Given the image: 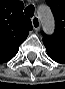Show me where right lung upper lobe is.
Instances as JSON below:
<instances>
[{
	"label": "right lung upper lobe",
	"mask_w": 65,
	"mask_h": 89,
	"mask_svg": "<svg viewBox=\"0 0 65 89\" xmlns=\"http://www.w3.org/2000/svg\"><path fill=\"white\" fill-rule=\"evenodd\" d=\"M19 0H0V63L12 59L33 29L31 19L24 16Z\"/></svg>",
	"instance_id": "1"
}]
</instances>
